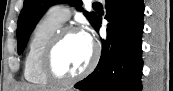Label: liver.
<instances>
[{
    "label": "liver",
    "instance_id": "6515ba94",
    "mask_svg": "<svg viewBox=\"0 0 173 91\" xmlns=\"http://www.w3.org/2000/svg\"><path fill=\"white\" fill-rule=\"evenodd\" d=\"M14 91H41L36 86L24 84L22 86L16 87Z\"/></svg>",
    "mask_w": 173,
    "mask_h": 91
}]
</instances>
